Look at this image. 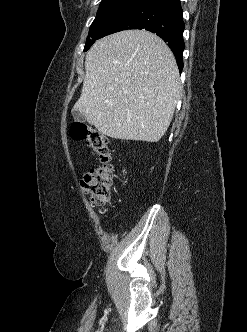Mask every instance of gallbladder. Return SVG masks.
<instances>
[{
    "label": "gallbladder",
    "instance_id": "bac80fb5",
    "mask_svg": "<svg viewBox=\"0 0 247 332\" xmlns=\"http://www.w3.org/2000/svg\"><path fill=\"white\" fill-rule=\"evenodd\" d=\"M72 115H73L74 119H78L79 117L82 116V114L78 110H75V109L72 110Z\"/></svg>",
    "mask_w": 247,
    "mask_h": 332
}]
</instances>
